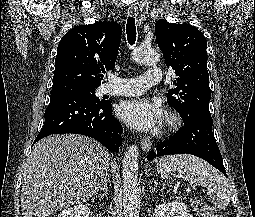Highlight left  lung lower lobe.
<instances>
[{
	"instance_id": "1",
	"label": "left lung lower lobe",
	"mask_w": 255,
	"mask_h": 217,
	"mask_svg": "<svg viewBox=\"0 0 255 217\" xmlns=\"http://www.w3.org/2000/svg\"><path fill=\"white\" fill-rule=\"evenodd\" d=\"M212 125V117L204 115L184 122L183 128L151 151L148 160L169 154H192L206 160L227 177Z\"/></svg>"
}]
</instances>
